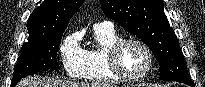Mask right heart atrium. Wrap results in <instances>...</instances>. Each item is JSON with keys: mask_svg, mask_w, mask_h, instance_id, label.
I'll list each match as a JSON object with an SVG mask.
<instances>
[{"mask_svg": "<svg viewBox=\"0 0 205 87\" xmlns=\"http://www.w3.org/2000/svg\"><path fill=\"white\" fill-rule=\"evenodd\" d=\"M59 53L67 74L71 77H80L84 67V52L75 34L64 38L59 47Z\"/></svg>", "mask_w": 205, "mask_h": 87, "instance_id": "d8ad5b80", "label": "right heart atrium"}]
</instances>
